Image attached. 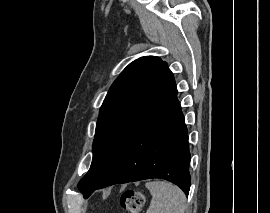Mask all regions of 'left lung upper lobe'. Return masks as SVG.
Returning <instances> with one entry per match:
<instances>
[{"label": "left lung upper lobe", "mask_w": 270, "mask_h": 213, "mask_svg": "<svg viewBox=\"0 0 270 213\" xmlns=\"http://www.w3.org/2000/svg\"><path fill=\"white\" fill-rule=\"evenodd\" d=\"M175 88L167 63L158 57H141L123 70L100 108L92 164L79 182L84 195L101 182L140 124Z\"/></svg>", "instance_id": "5c2ea615"}]
</instances>
